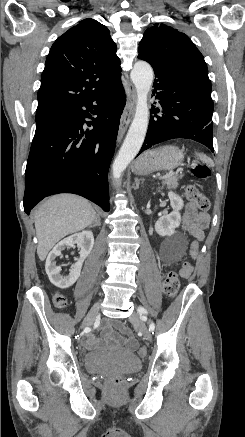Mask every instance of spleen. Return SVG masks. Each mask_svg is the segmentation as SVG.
<instances>
[{"label":"spleen","mask_w":245,"mask_h":437,"mask_svg":"<svg viewBox=\"0 0 245 437\" xmlns=\"http://www.w3.org/2000/svg\"><path fill=\"white\" fill-rule=\"evenodd\" d=\"M196 156L199 157L201 160H207V157L202 153H196Z\"/></svg>","instance_id":"obj_1"}]
</instances>
